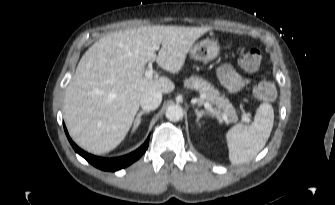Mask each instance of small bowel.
I'll use <instances>...</instances> for the list:
<instances>
[{"mask_svg":"<svg viewBox=\"0 0 335 205\" xmlns=\"http://www.w3.org/2000/svg\"><path fill=\"white\" fill-rule=\"evenodd\" d=\"M217 76L221 84L230 92L235 93L249 83V80L241 76L231 65L223 64L217 69Z\"/></svg>","mask_w":335,"mask_h":205,"instance_id":"1","label":"small bowel"}]
</instances>
